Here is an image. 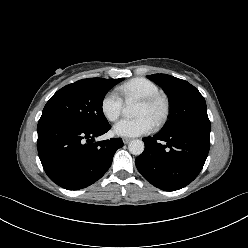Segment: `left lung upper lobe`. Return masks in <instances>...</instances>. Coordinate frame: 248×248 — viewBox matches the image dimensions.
<instances>
[{"label": "left lung upper lobe", "instance_id": "1", "mask_svg": "<svg viewBox=\"0 0 248 248\" xmlns=\"http://www.w3.org/2000/svg\"><path fill=\"white\" fill-rule=\"evenodd\" d=\"M147 77L162 86L170 99V119L161 133L172 132L192 122L209 120L204 97L190 83L167 74H153Z\"/></svg>", "mask_w": 248, "mask_h": 248}]
</instances>
